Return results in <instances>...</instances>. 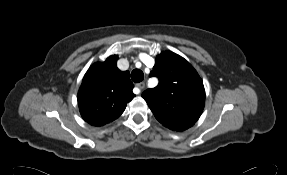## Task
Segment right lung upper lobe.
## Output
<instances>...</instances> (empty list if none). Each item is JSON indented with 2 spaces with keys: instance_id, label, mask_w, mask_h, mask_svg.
<instances>
[{
  "instance_id": "obj_1",
  "label": "right lung upper lobe",
  "mask_w": 287,
  "mask_h": 175,
  "mask_svg": "<svg viewBox=\"0 0 287 175\" xmlns=\"http://www.w3.org/2000/svg\"><path fill=\"white\" fill-rule=\"evenodd\" d=\"M116 55L94 63L86 72L78 92V106L83 119L103 126L117 119L135 96L129 72L117 68Z\"/></svg>"
}]
</instances>
